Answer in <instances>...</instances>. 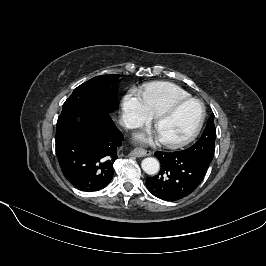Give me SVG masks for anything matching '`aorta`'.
Wrapping results in <instances>:
<instances>
[{
  "instance_id": "obj_1",
  "label": "aorta",
  "mask_w": 266,
  "mask_h": 266,
  "mask_svg": "<svg viewBox=\"0 0 266 266\" xmlns=\"http://www.w3.org/2000/svg\"><path fill=\"white\" fill-rule=\"evenodd\" d=\"M142 169L145 173L149 175H154L158 173L160 169L159 161L153 157H147L142 161Z\"/></svg>"
}]
</instances>
